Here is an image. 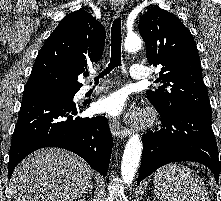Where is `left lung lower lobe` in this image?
Masks as SVG:
<instances>
[{"label": "left lung lower lobe", "mask_w": 221, "mask_h": 201, "mask_svg": "<svg viewBox=\"0 0 221 201\" xmlns=\"http://www.w3.org/2000/svg\"><path fill=\"white\" fill-rule=\"evenodd\" d=\"M158 112L163 127L160 131L142 136L143 153L137 185L159 167L178 161L204 164L213 172L218 183L221 162L211 127L210 108L190 107Z\"/></svg>", "instance_id": "obj_1"}]
</instances>
